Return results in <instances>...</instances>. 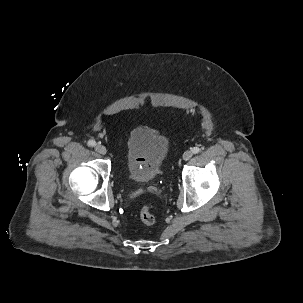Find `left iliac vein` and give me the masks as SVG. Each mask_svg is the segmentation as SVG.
Returning a JSON list of instances; mask_svg holds the SVG:
<instances>
[{
  "mask_svg": "<svg viewBox=\"0 0 303 303\" xmlns=\"http://www.w3.org/2000/svg\"><path fill=\"white\" fill-rule=\"evenodd\" d=\"M192 156H193V152L191 150H187L183 154V159L185 161H187V160L191 159Z\"/></svg>",
  "mask_w": 303,
  "mask_h": 303,
  "instance_id": "1",
  "label": "left iliac vein"
}]
</instances>
